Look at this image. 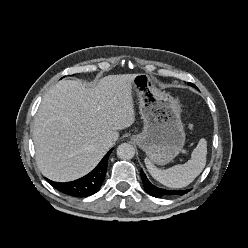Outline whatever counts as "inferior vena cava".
<instances>
[{"label": "inferior vena cava", "instance_id": "602c4592", "mask_svg": "<svg viewBox=\"0 0 248 248\" xmlns=\"http://www.w3.org/2000/svg\"><path fill=\"white\" fill-rule=\"evenodd\" d=\"M114 140L112 138H106L103 141V145L107 146V147H111L114 144Z\"/></svg>", "mask_w": 248, "mask_h": 248}]
</instances>
